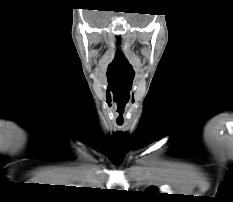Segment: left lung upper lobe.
Wrapping results in <instances>:
<instances>
[{"label":"left lung upper lobe","instance_id":"1","mask_svg":"<svg viewBox=\"0 0 233 202\" xmlns=\"http://www.w3.org/2000/svg\"><path fill=\"white\" fill-rule=\"evenodd\" d=\"M156 191H157L156 188L150 187L147 192H148V194H151V195H157Z\"/></svg>","mask_w":233,"mask_h":202}]
</instances>
